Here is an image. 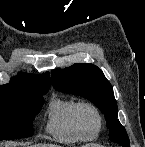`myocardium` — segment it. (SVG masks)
<instances>
[{
    "instance_id": "f54148a6",
    "label": "myocardium",
    "mask_w": 145,
    "mask_h": 147,
    "mask_svg": "<svg viewBox=\"0 0 145 147\" xmlns=\"http://www.w3.org/2000/svg\"><path fill=\"white\" fill-rule=\"evenodd\" d=\"M89 115L94 119V132L98 134L103 126V116L101 111L92 102H81L78 107L77 118L81 127L86 131H90V126L87 119Z\"/></svg>"
}]
</instances>
